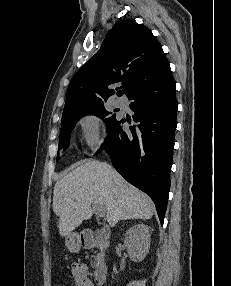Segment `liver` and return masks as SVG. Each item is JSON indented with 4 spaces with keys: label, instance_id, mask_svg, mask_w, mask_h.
Instances as JSON below:
<instances>
[{
    "label": "liver",
    "instance_id": "liver-1",
    "mask_svg": "<svg viewBox=\"0 0 231 286\" xmlns=\"http://www.w3.org/2000/svg\"><path fill=\"white\" fill-rule=\"evenodd\" d=\"M92 204L104 208L110 226L120 220L150 219L155 206L142 191L109 164L87 160L54 187L53 211L61 237L69 236L84 220L92 217Z\"/></svg>",
    "mask_w": 231,
    "mask_h": 286
}]
</instances>
